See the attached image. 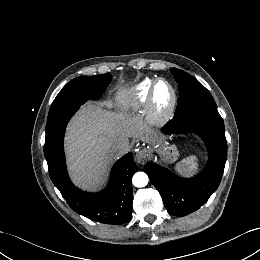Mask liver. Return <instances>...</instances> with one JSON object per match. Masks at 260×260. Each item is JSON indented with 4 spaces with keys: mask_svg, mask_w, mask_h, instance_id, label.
Returning a JSON list of instances; mask_svg holds the SVG:
<instances>
[{
    "mask_svg": "<svg viewBox=\"0 0 260 260\" xmlns=\"http://www.w3.org/2000/svg\"><path fill=\"white\" fill-rule=\"evenodd\" d=\"M147 143L158 141L145 125L122 114L110 113L92 103L73 117L65 139L67 162L74 182L86 190H97L106 181L111 163L119 156L112 147L121 138Z\"/></svg>",
    "mask_w": 260,
    "mask_h": 260,
    "instance_id": "6515ba94",
    "label": "liver"
}]
</instances>
